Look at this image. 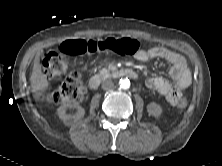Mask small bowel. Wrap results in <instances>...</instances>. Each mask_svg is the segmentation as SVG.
<instances>
[{
  "instance_id": "obj_1",
  "label": "small bowel",
  "mask_w": 222,
  "mask_h": 166,
  "mask_svg": "<svg viewBox=\"0 0 222 166\" xmlns=\"http://www.w3.org/2000/svg\"><path fill=\"white\" fill-rule=\"evenodd\" d=\"M135 58L142 62L158 58L170 64V76L174 80L173 85L162 77H151L146 81V85L149 89L163 96L169 104L176 106L182 96V91L192 82V75L185 59L180 54L160 46L140 50L135 54Z\"/></svg>"
}]
</instances>
